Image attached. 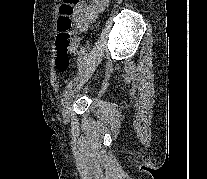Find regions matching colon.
<instances>
[{"label":"colon","instance_id":"obj_1","mask_svg":"<svg viewBox=\"0 0 207 179\" xmlns=\"http://www.w3.org/2000/svg\"><path fill=\"white\" fill-rule=\"evenodd\" d=\"M79 2L80 0H62L59 7L60 15L56 23L57 34L55 37L57 50L55 65L61 73L66 72L70 65L68 53L73 45V36L71 33L73 26L72 16Z\"/></svg>","mask_w":207,"mask_h":179}]
</instances>
